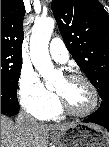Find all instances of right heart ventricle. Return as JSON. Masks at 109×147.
I'll use <instances>...</instances> for the list:
<instances>
[{
  "instance_id": "e07e8e85",
  "label": "right heart ventricle",
  "mask_w": 109,
  "mask_h": 147,
  "mask_svg": "<svg viewBox=\"0 0 109 147\" xmlns=\"http://www.w3.org/2000/svg\"><path fill=\"white\" fill-rule=\"evenodd\" d=\"M62 113H63V110L59 106H55L36 114V116L38 118L43 117L44 120H50V119L60 118Z\"/></svg>"
}]
</instances>
